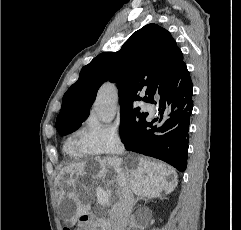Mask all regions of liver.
Wrapping results in <instances>:
<instances>
[{
  "label": "liver",
  "mask_w": 241,
  "mask_h": 230,
  "mask_svg": "<svg viewBox=\"0 0 241 230\" xmlns=\"http://www.w3.org/2000/svg\"><path fill=\"white\" fill-rule=\"evenodd\" d=\"M97 163V171L92 175V184L85 185L80 183L82 191L90 194L94 189L98 192L102 190L101 185L96 187L97 183L104 184L109 199L117 201L119 198L117 176L109 175V168H114L115 164H119L125 174L132 192L138 197L156 198L162 193L170 194L177 186V174L175 170L163 163L151 161L136 154H129L124 160L121 158H99L94 159ZM115 171V170H114ZM65 172L70 175L67 181L73 190L68 192L66 197L60 199V203L68 198L72 200L76 206L73 215V222H76L79 217L87 214L90 210L89 204H83L80 199L81 191L76 189V179L85 177L88 174L86 162L70 165L65 168ZM116 173V172H114Z\"/></svg>",
  "instance_id": "1"
}]
</instances>
